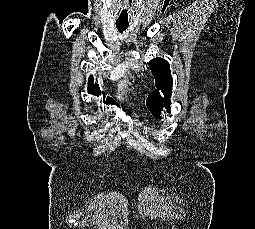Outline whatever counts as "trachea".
<instances>
[{
    "instance_id": "1",
    "label": "trachea",
    "mask_w": 255,
    "mask_h": 229,
    "mask_svg": "<svg viewBox=\"0 0 255 229\" xmlns=\"http://www.w3.org/2000/svg\"><path fill=\"white\" fill-rule=\"evenodd\" d=\"M116 27L119 32H123L127 29L128 23H116Z\"/></svg>"
}]
</instances>
